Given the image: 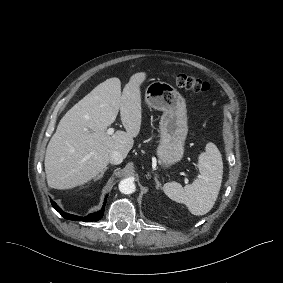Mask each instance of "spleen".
<instances>
[{
  "label": "spleen",
  "instance_id": "spleen-1",
  "mask_svg": "<svg viewBox=\"0 0 283 283\" xmlns=\"http://www.w3.org/2000/svg\"><path fill=\"white\" fill-rule=\"evenodd\" d=\"M200 177L184 188L177 182L164 184V193L173 201L185 204L193 215L208 213L220 191L223 162L215 144L209 142L205 152L199 155Z\"/></svg>",
  "mask_w": 283,
  "mask_h": 283
}]
</instances>
